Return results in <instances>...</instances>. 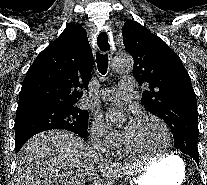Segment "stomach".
<instances>
[{
    "mask_svg": "<svg viewBox=\"0 0 207 185\" xmlns=\"http://www.w3.org/2000/svg\"><path fill=\"white\" fill-rule=\"evenodd\" d=\"M185 178V164L177 155L167 156L151 164L137 185H180Z\"/></svg>",
    "mask_w": 207,
    "mask_h": 185,
    "instance_id": "stomach-1",
    "label": "stomach"
}]
</instances>
